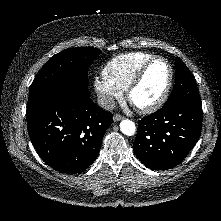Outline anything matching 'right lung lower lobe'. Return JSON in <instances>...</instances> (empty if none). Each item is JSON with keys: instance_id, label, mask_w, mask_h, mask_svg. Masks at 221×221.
I'll list each match as a JSON object with an SVG mask.
<instances>
[{"instance_id": "1", "label": "right lung lower lobe", "mask_w": 221, "mask_h": 221, "mask_svg": "<svg viewBox=\"0 0 221 221\" xmlns=\"http://www.w3.org/2000/svg\"><path fill=\"white\" fill-rule=\"evenodd\" d=\"M30 139L42 160L56 171L76 174L96 159L112 113L99 108L87 86H54L27 106Z\"/></svg>"}]
</instances>
